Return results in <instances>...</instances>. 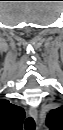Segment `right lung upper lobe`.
I'll list each match as a JSON object with an SVG mask.
<instances>
[{"label":"right lung upper lobe","instance_id":"right-lung-upper-lobe-1","mask_svg":"<svg viewBox=\"0 0 63 130\" xmlns=\"http://www.w3.org/2000/svg\"><path fill=\"white\" fill-rule=\"evenodd\" d=\"M25 112L22 107L11 104L8 100L0 101V123L7 130H21Z\"/></svg>","mask_w":63,"mask_h":130}]
</instances>
